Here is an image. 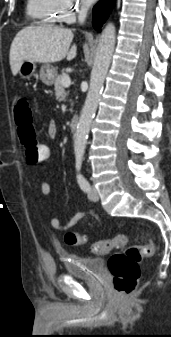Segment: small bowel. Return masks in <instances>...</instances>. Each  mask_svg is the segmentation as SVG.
<instances>
[{
  "label": "small bowel",
  "mask_w": 171,
  "mask_h": 337,
  "mask_svg": "<svg viewBox=\"0 0 171 337\" xmlns=\"http://www.w3.org/2000/svg\"><path fill=\"white\" fill-rule=\"evenodd\" d=\"M47 133L50 138H54L57 135V127L54 122H50L47 127ZM40 190L43 196L47 197L50 194L51 188L46 180H42L40 183ZM93 215L90 211H77L72 217L65 223H62L57 217H50V225L53 229L60 232H67L76 224H78L86 216Z\"/></svg>",
  "instance_id": "small-bowel-1"
}]
</instances>
